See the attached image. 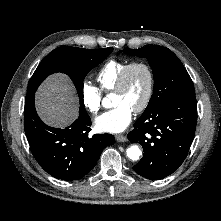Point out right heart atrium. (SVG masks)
<instances>
[{"label":"right heart atrium","mask_w":221,"mask_h":221,"mask_svg":"<svg viewBox=\"0 0 221 221\" xmlns=\"http://www.w3.org/2000/svg\"><path fill=\"white\" fill-rule=\"evenodd\" d=\"M81 100L86 110L92 114L97 113L101 108V92L89 82L82 83Z\"/></svg>","instance_id":"right-heart-atrium-1"}]
</instances>
